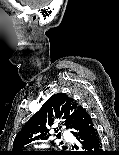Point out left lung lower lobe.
Masks as SVG:
<instances>
[{
  "mask_svg": "<svg viewBox=\"0 0 119 155\" xmlns=\"http://www.w3.org/2000/svg\"><path fill=\"white\" fill-rule=\"evenodd\" d=\"M74 131L73 134L81 144V148L85 151L79 155H104L97 129L90 115L80 106L77 109Z\"/></svg>",
  "mask_w": 119,
  "mask_h": 155,
  "instance_id": "0a47b994",
  "label": "left lung lower lobe"
}]
</instances>
